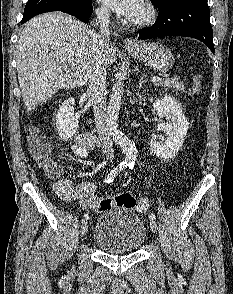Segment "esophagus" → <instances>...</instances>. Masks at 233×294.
<instances>
[{
  "instance_id": "obj_1",
  "label": "esophagus",
  "mask_w": 233,
  "mask_h": 294,
  "mask_svg": "<svg viewBox=\"0 0 233 294\" xmlns=\"http://www.w3.org/2000/svg\"><path fill=\"white\" fill-rule=\"evenodd\" d=\"M123 43L126 47H136L137 46V43L130 38H125L123 40Z\"/></svg>"
}]
</instances>
